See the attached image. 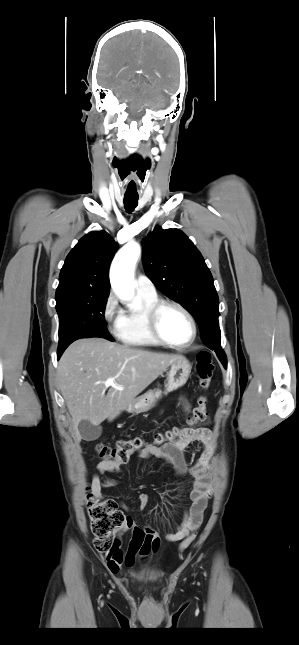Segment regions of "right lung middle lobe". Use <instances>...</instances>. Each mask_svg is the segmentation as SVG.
I'll list each match as a JSON object with an SVG mask.
<instances>
[{
    "label": "right lung middle lobe",
    "instance_id": "dd1d6c3e",
    "mask_svg": "<svg viewBox=\"0 0 299 645\" xmlns=\"http://www.w3.org/2000/svg\"><path fill=\"white\" fill-rule=\"evenodd\" d=\"M108 295L75 296L56 304L59 316L57 352H63L69 344L83 337H102L113 341L104 319Z\"/></svg>",
    "mask_w": 299,
    "mask_h": 645
}]
</instances>
